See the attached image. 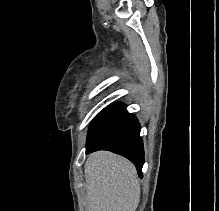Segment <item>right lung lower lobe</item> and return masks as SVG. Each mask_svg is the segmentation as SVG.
Segmentation results:
<instances>
[{"instance_id":"right-lung-lower-lobe-1","label":"right lung lower lobe","mask_w":219,"mask_h":211,"mask_svg":"<svg viewBox=\"0 0 219 211\" xmlns=\"http://www.w3.org/2000/svg\"><path fill=\"white\" fill-rule=\"evenodd\" d=\"M109 150L132 161L142 177L144 149L140 138V124L122 103L103 109L92 121L88 131L86 154Z\"/></svg>"}]
</instances>
